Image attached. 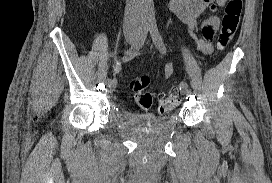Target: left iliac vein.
<instances>
[{
	"label": "left iliac vein",
	"mask_w": 272,
	"mask_h": 183,
	"mask_svg": "<svg viewBox=\"0 0 272 183\" xmlns=\"http://www.w3.org/2000/svg\"><path fill=\"white\" fill-rule=\"evenodd\" d=\"M181 94L184 96H189L191 94V91L188 88H185L181 91Z\"/></svg>",
	"instance_id": "obj_1"
}]
</instances>
